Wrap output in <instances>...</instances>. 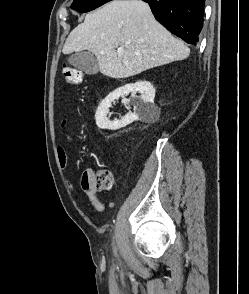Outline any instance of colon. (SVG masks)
<instances>
[{
    "label": "colon",
    "mask_w": 249,
    "mask_h": 294,
    "mask_svg": "<svg viewBox=\"0 0 249 294\" xmlns=\"http://www.w3.org/2000/svg\"><path fill=\"white\" fill-rule=\"evenodd\" d=\"M62 74L66 82L71 85H79L84 80V74L79 69L70 65H63ZM94 186L101 190H109L113 187V175L108 170H99L96 173H90Z\"/></svg>",
    "instance_id": "obj_1"
}]
</instances>
